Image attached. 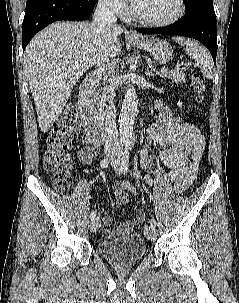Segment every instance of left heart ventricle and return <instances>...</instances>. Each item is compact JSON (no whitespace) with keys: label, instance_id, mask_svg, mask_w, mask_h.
Masks as SVG:
<instances>
[{"label":"left heart ventricle","instance_id":"obj_1","mask_svg":"<svg viewBox=\"0 0 239 303\" xmlns=\"http://www.w3.org/2000/svg\"><path fill=\"white\" fill-rule=\"evenodd\" d=\"M134 7L144 18L162 20L177 12L178 3L177 0H140Z\"/></svg>","mask_w":239,"mask_h":303}]
</instances>
